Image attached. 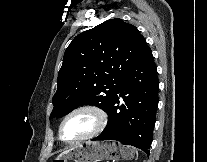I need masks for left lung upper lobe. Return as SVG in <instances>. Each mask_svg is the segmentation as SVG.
<instances>
[{"instance_id":"1","label":"left lung upper lobe","mask_w":207,"mask_h":162,"mask_svg":"<svg viewBox=\"0 0 207 162\" xmlns=\"http://www.w3.org/2000/svg\"><path fill=\"white\" fill-rule=\"evenodd\" d=\"M149 50L137 28L119 18L77 35L64 54L50 119L84 104L107 112L124 78Z\"/></svg>"}]
</instances>
